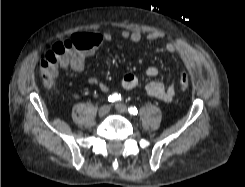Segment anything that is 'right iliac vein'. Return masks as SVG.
<instances>
[{
	"label": "right iliac vein",
	"mask_w": 245,
	"mask_h": 187,
	"mask_svg": "<svg viewBox=\"0 0 245 187\" xmlns=\"http://www.w3.org/2000/svg\"><path fill=\"white\" fill-rule=\"evenodd\" d=\"M110 111V106L109 105H103L102 107H100L98 114L99 116H105L109 113Z\"/></svg>",
	"instance_id": "1"
}]
</instances>
